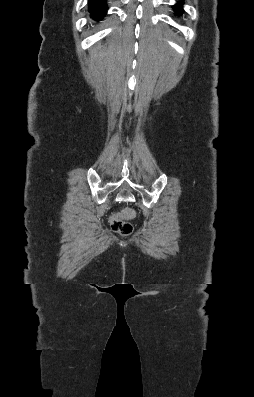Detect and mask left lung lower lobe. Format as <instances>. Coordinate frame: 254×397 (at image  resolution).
<instances>
[{
    "label": "left lung lower lobe",
    "instance_id": "0a47b994",
    "mask_svg": "<svg viewBox=\"0 0 254 397\" xmlns=\"http://www.w3.org/2000/svg\"><path fill=\"white\" fill-rule=\"evenodd\" d=\"M182 4H183V2H180V3H177L175 6H173V9L176 14L180 15L183 12Z\"/></svg>",
    "mask_w": 254,
    "mask_h": 397
}]
</instances>
